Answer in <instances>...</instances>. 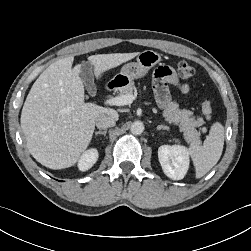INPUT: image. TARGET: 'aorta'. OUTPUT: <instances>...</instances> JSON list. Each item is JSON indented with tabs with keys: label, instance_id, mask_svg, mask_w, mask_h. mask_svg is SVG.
Here are the masks:
<instances>
[{
	"label": "aorta",
	"instance_id": "aorta-1",
	"mask_svg": "<svg viewBox=\"0 0 251 251\" xmlns=\"http://www.w3.org/2000/svg\"><path fill=\"white\" fill-rule=\"evenodd\" d=\"M131 133L134 135H140L144 131V124L141 121H135L131 125Z\"/></svg>",
	"mask_w": 251,
	"mask_h": 251
}]
</instances>
